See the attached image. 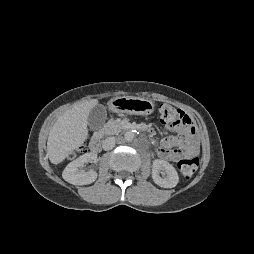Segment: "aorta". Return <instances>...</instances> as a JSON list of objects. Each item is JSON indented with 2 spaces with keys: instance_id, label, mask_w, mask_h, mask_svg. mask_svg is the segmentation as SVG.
<instances>
[{
  "instance_id": "762f6f07",
  "label": "aorta",
  "mask_w": 254,
  "mask_h": 254,
  "mask_svg": "<svg viewBox=\"0 0 254 254\" xmlns=\"http://www.w3.org/2000/svg\"><path fill=\"white\" fill-rule=\"evenodd\" d=\"M124 139L126 141H132L134 139V133L132 131H128L124 135Z\"/></svg>"
}]
</instances>
